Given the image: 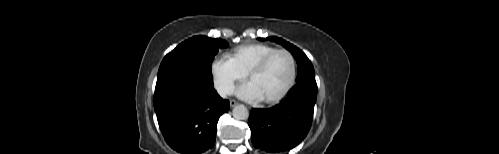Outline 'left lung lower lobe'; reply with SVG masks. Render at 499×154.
Listing matches in <instances>:
<instances>
[{
	"mask_svg": "<svg viewBox=\"0 0 499 154\" xmlns=\"http://www.w3.org/2000/svg\"><path fill=\"white\" fill-rule=\"evenodd\" d=\"M316 97V81H302L280 104L270 109H252L248 124L254 147L276 153L297 146L311 127Z\"/></svg>",
	"mask_w": 499,
	"mask_h": 154,
	"instance_id": "1",
	"label": "left lung lower lobe"
}]
</instances>
